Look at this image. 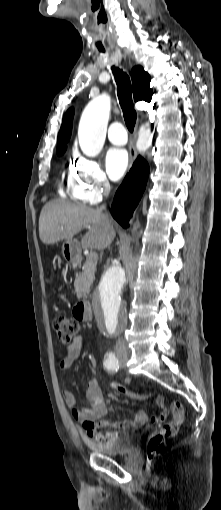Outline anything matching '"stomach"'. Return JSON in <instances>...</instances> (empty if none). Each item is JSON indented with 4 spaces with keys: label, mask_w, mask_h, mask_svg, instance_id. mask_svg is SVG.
Listing matches in <instances>:
<instances>
[{
    "label": "stomach",
    "mask_w": 221,
    "mask_h": 510,
    "mask_svg": "<svg viewBox=\"0 0 221 510\" xmlns=\"http://www.w3.org/2000/svg\"><path fill=\"white\" fill-rule=\"evenodd\" d=\"M78 244L74 242L72 239L65 240L62 245V254L68 259L72 260L73 256L77 253Z\"/></svg>",
    "instance_id": "0dacf381"
}]
</instances>
